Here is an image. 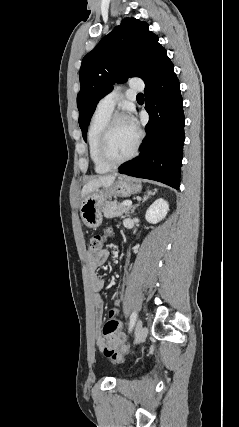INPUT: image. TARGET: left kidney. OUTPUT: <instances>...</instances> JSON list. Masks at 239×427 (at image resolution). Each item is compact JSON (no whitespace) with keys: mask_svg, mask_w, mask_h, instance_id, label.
Masks as SVG:
<instances>
[{"mask_svg":"<svg viewBox=\"0 0 239 427\" xmlns=\"http://www.w3.org/2000/svg\"><path fill=\"white\" fill-rule=\"evenodd\" d=\"M168 211V202L162 198H159L148 208L145 218L149 223L155 224L164 219Z\"/></svg>","mask_w":239,"mask_h":427,"instance_id":"left-kidney-1","label":"left kidney"}]
</instances>
